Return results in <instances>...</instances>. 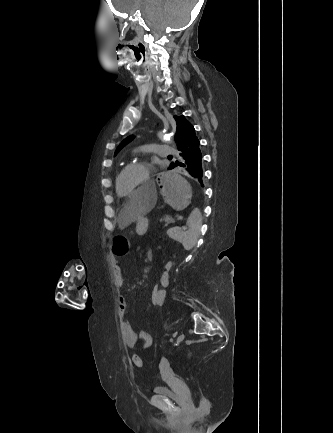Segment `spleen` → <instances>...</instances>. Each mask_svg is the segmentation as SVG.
Wrapping results in <instances>:
<instances>
[{
    "label": "spleen",
    "mask_w": 333,
    "mask_h": 433,
    "mask_svg": "<svg viewBox=\"0 0 333 433\" xmlns=\"http://www.w3.org/2000/svg\"><path fill=\"white\" fill-rule=\"evenodd\" d=\"M177 176V175H174ZM201 209L198 206H194L191 209L190 216L187 220V225L181 227H175L173 231H170L168 235L180 242L185 250H191L197 243L200 235L201 228Z\"/></svg>",
    "instance_id": "1"
}]
</instances>
